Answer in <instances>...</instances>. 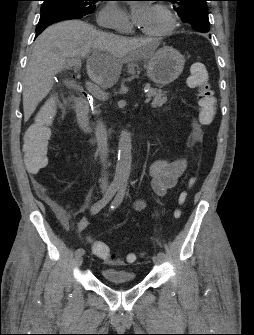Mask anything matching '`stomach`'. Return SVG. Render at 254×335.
Masks as SVG:
<instances>
[{"label":"stomach","instance_id":"stomach-1","mask_svg":"<svg viewBox=\"0 0 254 335\" xmlns=\"http://www.w3.org/2000/svg\"><path fill=\"white\" fill-rule=\"evenodd\" d=\"M185 65L184 56L173 47L164 46L152 52L145 63L149 79L158 87H164L175 81Z\"/></svg>","mask_w":254,"mask_h":335}]
</instances>
